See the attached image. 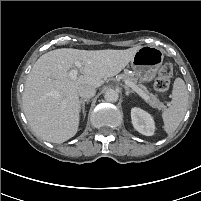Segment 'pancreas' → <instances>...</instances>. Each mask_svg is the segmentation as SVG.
I'll list each match as a JSON object with an SVG mask.
<instances>
[{
    "label": "pancreas",
    "mask_w": 201,
    "mask_h": 201,
    "mask_svg": "<svg viewBox=\"0 0 201 201\" xmlns=\"http://www.w3.org/2000/svg\"><path fill=\"white\" fill-rule=\"evenodd\" d=\"M124 81L127 80L131 83L133 87H142V84L138 83V79L129 75H124ZM148 95V99L145 100L150 106L157 109L164 108V105L155 97L153 94H150L147 90L143 91Z\"/></svg>",
    "instance_id": "pancreas-1"
}]
</instances>
